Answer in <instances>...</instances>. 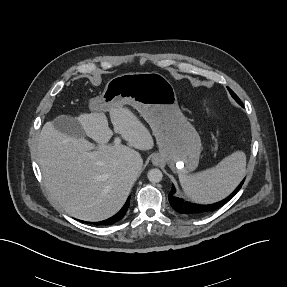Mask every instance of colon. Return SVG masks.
I'll return each instance as SVG.
<instances>
[{"instance_id":"5ec220e1","label":"colon","mask_w":287,"mask_h":287,"mask_svg":"<svg viewBox=\"0 0 287 287\" xmlns=\"http://www.w3.org/2000/svg\"><path fill=\"white\" fill-rule=\"evenodd\" d=\"M205 111H206V114L209 115L210 117H213L216 112L213 108H211L208 104H205Z\"/></svg>"}]
</instances>
